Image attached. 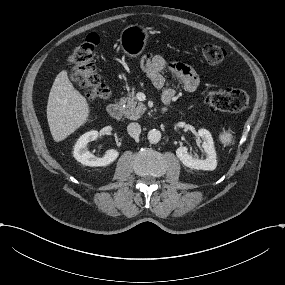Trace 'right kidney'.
Here are the masks:
<instances>
[{"instance_id": "1", "label": "right kidney", "mask_w": 285, "mask_h": 285, "mask_svg": "<svg viewBox=\"0 0 285 285\" xmlns=\"http://www.w3.org/2000/svg\"><path fill=\"white\" fill-rule=\"evenodd\" d=\"M97 137L98 131L96 130H91L80 136L73 150V156L78 162L86 166H106L117 159L119 153L114 149L107 150L102 158L94 156L87 150V144L96 140Z\"/></svg>"}]
</instances>
